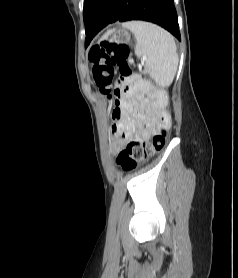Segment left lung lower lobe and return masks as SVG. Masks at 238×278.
<instances>
[{
	"instance_id": "left-lung-lower-lobe-1",
	"label": "left lung lower lobe",
	"mask_w": 238,
	"mask_h": 278,
	"mask_svg": "<svg viewBox=\"0 0 238 278\" xmlns=\"http://www.w3.org/2000/svg\"><path fill=\"white\" fill-rule=\"evenodd\" d=\"M128 20L156 23L180 40L174 0H103L86 31L85 46L108 24Z\"/></svg>"
}]
</instances>
